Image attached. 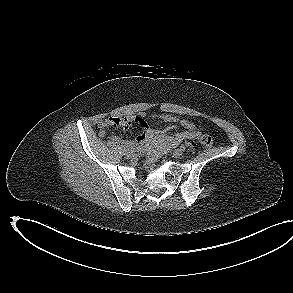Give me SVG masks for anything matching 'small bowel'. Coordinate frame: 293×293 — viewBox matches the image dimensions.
<instances>
[{"label":"small bowel","instance_id":"small-bowel-1","mask_svg":"<svg viewBox=\"0 0 293 293\" xmlns=\"http://www.w3.org/2000/svg\"><path fill=\"white\" fill-rule=\"evenodd\" d=\"M144 117V114L128 117H112L101 120L97 126L100 130V135L103 136L106 129L122 127L123 129L127 130L133 123H136L143 129V133L136 137L134 141H127L124 142V144L125 146H134L135 144H140L149 149H153L167 143L172 144L175 147L184 140H200L201 138V132L196 128L195 124L189 120H180L178 117L171 114L156 115L155 117H158L167 123L179 122L185 129L182 132L168 134L166 131L150 128Z\"/></svg>","mask_w":293,"mask_h":293}]
</instances>
